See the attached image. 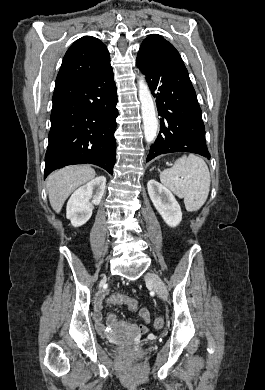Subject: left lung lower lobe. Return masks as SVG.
<instances>
[{
    "label": "left lung lower lobe",
    "mask_w": 265,
    "mask_h": 390,
    "mask_svg": "<svg viewBox=\"0 0 265 390\" xmlns=\"http://www.w3.org/2000/svg\"><path fill=\"white\" fill-rule=\"evenodd\" d=\"M136 64L146 76L162 117L159 135L146 162L174 152L196 153L209 159L201 108L187 69L154 64L139 56Z\"/></svg>",
    "instance_id": "0a47b994"
}]
</instances>
